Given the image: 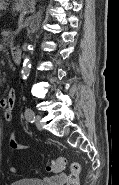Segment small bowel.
I'll use <instances>...</instances> for the list:
<instances>
[{
	"label": "small bowel",
	"instance_id": "c3829d8e",
	"mask_svg": "<svg viewBox=\"0 0 119 185\" xmlns=\"http://www.w3.org/2000/svg\"><path fill=\"white\" fill-rule=\"evenodd\" d=\"M15 100L16 93L13 89L9 91L8 95L5 98L0 99V107L4 110V118L7 121H11L13 118ZM10 147L13 150H27L29 148L27 145L19 144L15 140L14 133L11 134ZM11 170L14 172L16 171L15 168H12ZM67 177L68 176L66 174H59L49 178L48 181L51 185H64L66 183Z\"/></svg>",
	"mask_w": 119,
	"mask_h": 185
}]
</instances>
